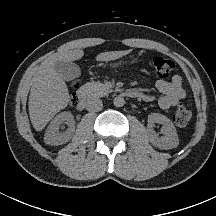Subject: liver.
<instances>
[{"label": "liver", "instance_id": "liver-1", "mask_svg": "<svg viewBox=\"0 0 216 216\" xmlns=\"http://www.w3.org/2000/svg\"><path fill=\"white\" fill-rule=\"evenodd\" d=\"M130 50L100 53L96 61H111L127 55ZM83 50L57 53L47 58L39 67L29 96V115L36 131H41L62 109L66 108L70 95L64 79L55 70L57 61H75L83 57Z\"/></svg>", "mask_w": 216, "mask_h": 216}]
</instances>
